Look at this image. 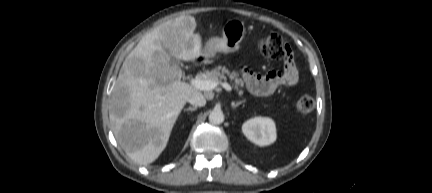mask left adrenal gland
Segmentation results:
<instances>
[{
	"instance_id": "1",
	"label": "left adrenal gland",
	"mask_w": 432,
	"mask_h": 193,
	"mask_svg": "<svg viewBox=\"0 0 432 193\" xmlns=\"http://www.w3.org/2000/svg\"><path fill=\"white\" fill-rule=\"evenodd\" d=\"M243 103H245V100H241V101H238V102H232V104H231V106L233 107V108H236V107H238L239 105H241V104H243Z\"/></svg>"
}]
</instances>
